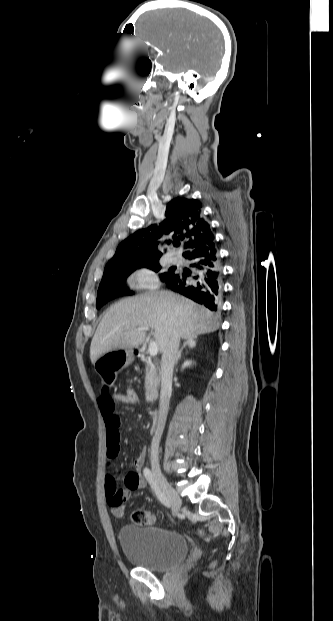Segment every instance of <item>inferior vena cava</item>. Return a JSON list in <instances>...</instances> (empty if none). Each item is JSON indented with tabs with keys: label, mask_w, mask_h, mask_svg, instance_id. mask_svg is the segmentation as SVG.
I'll return each instance as SVG.
<instances>
[{
	"label": "inferior vena cava",
	"mask_w": 333,
	"mask_h": 621,
	"mask_svg": "<svg viewBox=\"0 0 333 621\" xmlns=\"http://www.w3.org/2000/svg\"><path fill=\"white\" fill-rule=\"evenodd\" d=\"M180 343V334L178 331L173 330L169 335L166 348L163 351L161 359V392L159 403V417L157 428L151 442V461L158 463L159 461V443L164 430L168 409H169V395L172 390V376L173 369Z\"/></svg>",
	"instance_id": "obj_1"
}]
</instances>
